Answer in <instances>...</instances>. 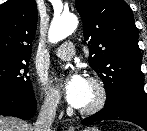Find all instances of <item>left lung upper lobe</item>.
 <instances>
[{"label":"left lung upper lobe","mask_w":147,"mask_h":131,"mask_svg":"<svg viewBox=\"0 0 147 131\" xmlns=\"http://www.w3.org/2000/svg\"><path fill=\"white\" fill-rule=\"evenodd\" d=\"M75 6L89 42V64L106 89L105 106L147 103L138 31L129 5L124 0H76Z\"/></svg>","instance_id":"5c2ea615"}]
</instances>
